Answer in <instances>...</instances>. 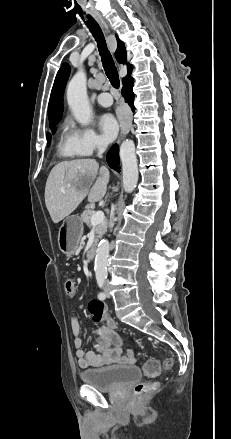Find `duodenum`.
Here are the masks:
<instances>
[{
    "mask_svg": "<svg viewBox=\"0 0 231 439\" xmlns=\"http://www.w3.org/2000/svg\"><path fill=\"white\" fill-rule=\"evenodd\" d=\"M97 253V246L93 244L87 251L86 257L89 261H92L95 259Z\"/></svg>",
    "mask_w": 231,
    "mask_h": 439,
    "instance_id": "obj_1",
    "label": "duodenum"
}]
</instances>
